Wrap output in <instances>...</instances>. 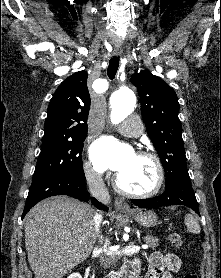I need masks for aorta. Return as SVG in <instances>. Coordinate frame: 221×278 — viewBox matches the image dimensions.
I'll return each instance as SVG.
<instances>
[{
	"label": "aorta",
	"mask_w": 221,
	"mask_h": 278,
	"mask_svg": "<svg viewBox=\"0 0 221 278\" xmlns=\"http://www.w3.org/2000/svg\"><path fill=\"white\" fill-rule=\"evenodd\" d=\"M111 114L110 119L113 124L122 122L130 115L136 105V97L132 90L125 89L115 92L110 98Z\"/></svg>",
	"instance_id": "obj_1"
}]
</instances>
